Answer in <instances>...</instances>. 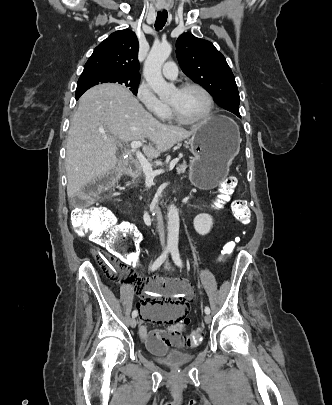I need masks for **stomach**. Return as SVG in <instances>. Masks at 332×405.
<instances>
[{"instance_id":"0dacf381","label":"stomach","mask_w":332,"mask_h":405,"mask_svg":"<svg viewBox=\"0 0 332 405\" xmlns=\"http://www.w3.org/2000/svg\"><path fill=\"white\" fill-rule=\"evenodd\" d=\"M240 143L237 124L226 116H211L198 124L190 139L192 182L203 188L220 184L239 153Z\"/></svg>"}]
</instances>
